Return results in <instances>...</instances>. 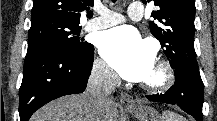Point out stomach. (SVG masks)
<instances>
[{
	"label": "stomach",
	"instance_id": "stomach-1",
	"mask_svg": "<svg viewBox=\"0 0 217 121\" xmlns=\"http://www.w3.org/2000/svg\"><path fill=\"white\" fill-rule=\"evenodd\" d=\"M127 110L138 119V121H163L162 117L153 107L144 104H138Z\"/></svg>",
	"mask_w": 217,
	"mask_h": 121
}]
</instances>
